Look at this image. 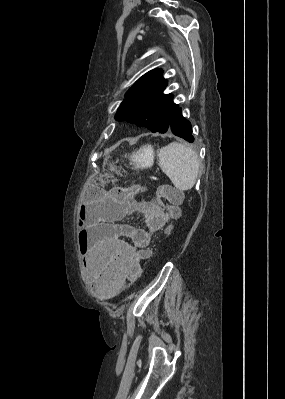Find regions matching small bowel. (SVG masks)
<instances>
[{
  "instance_id": "obj_1",
  "label": "small bowel",
  "mask_w": 285,
  "mask_h": 399,
  "mask_svg": "<svg viewBox=\"0 0 285 399\" xmlns=\"http://www.w3.org/2000/svg\"><path fill=\"white\" fill-rule=\"evenodd\" d=\"M119 217L138 215L142 227H127L121 236L108 234L99 229L95 233L84 232L87 237V271L97 281V289L107 297L120 293L128 282L134 280L130 270L133 261L146 258L150 237L163 228L168 214L159 206H145L138 201L116 213ZM97 239L93 244L91 240Z\"/></svg>"
}]
</instances>
